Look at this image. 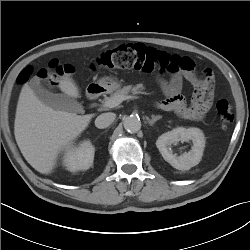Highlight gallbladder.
<instances>
[{"instance_id":"bac80fb5","label":"gallbladder","mask_w":250,"mask_h":250,"mask_svg":"<svg viewBox=\"0 0 250 250\" xmlns=\"http://www.w3.org/2000/svg\"><path fill=\"white\" fill-rule=\"evenodd\" d=\"M30 86L34 90L36 96L47 106L54 110H61L67 112H82V105L75 99L64 94H56L43 87L40 80L34 77L30 81Z\"/></svg>"}]
</instances>
